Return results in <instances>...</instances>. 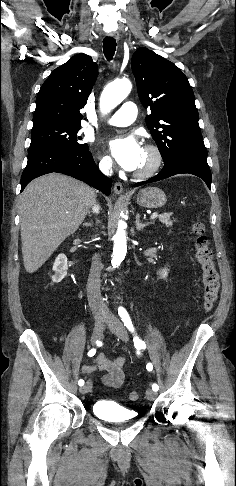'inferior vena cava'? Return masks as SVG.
I'll return each mask as SVG.
<instances>
[{"instance_id": "602c4592", "label": "inferior vena cava", "mask_w": 236, "mask_h": 486, "mask_svg": "<svg viewBox=\"0 0 236 486\" xmlns=\"http://www.w3.org/2000/svg\"><path fill=\"white\" fill-rule=\"evenodd\" d=\"M112 162L111 160H104L99 164V169L104 174H109L111 172ZM93 213H99L100 206L96 204L94 200L92 204ZM102 269V264L100 262L99 255L95 254L92 258L90 273L87 282V297L89 301V306L94 314L101 313L103 308L100 303V272Z\"/></svg>"}]
</instances>
